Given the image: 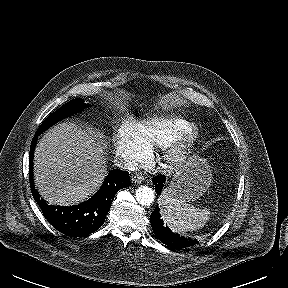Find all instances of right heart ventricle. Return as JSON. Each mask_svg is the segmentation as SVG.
<instances>
[{"label": "right heart ventricle", "mask_w": 288, "mask_h": 288, "mask_svg": "<svg viewBox=\"0 0 288 288\" xmlns=\"http://www.w3.org/2000/svg\"><path fill=\"white\" fill-rule=\"evenodd\" d=\"M190 124L187 118L179 115H156L145 119L139 129L150 148L165 147L172 138Z\"/></svg>", "instance_id": "obj_1"}]
</instances>
